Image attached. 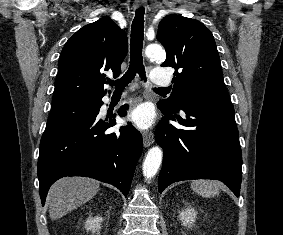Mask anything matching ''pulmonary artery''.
Listing matches in <instances>:
<instances>
[{"label": "pulmonary artery", "mask_w": 283, "mask_h": 235, "mask_svg": "<svg viewBox=\"0 0 283 235\" xmlns=\"http://www.w3.org/2000/svg\"><path fill=\"white\" fill-rule=\"evenodd\" d=\"M151 79L157 86L160 87L171 85V79L168 77L165 70L153 69Z\"/></svg>", "instance_id": "pulmonary-artery-1"}]
</instances>
